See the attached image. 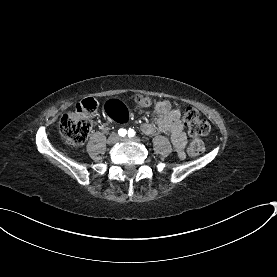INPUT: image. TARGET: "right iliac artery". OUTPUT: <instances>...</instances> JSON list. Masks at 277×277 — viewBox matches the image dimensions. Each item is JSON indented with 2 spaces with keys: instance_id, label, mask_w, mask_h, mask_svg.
<instances>
[{
  "instance_id": "82829eb1",
  "label": "right iliac artery",
  "mask_w": 277,
  "mask_h": 277,
  "mask_svg": "<svg viewBox=\"0 0 277 277\" xmlns=\"http://www.w3.org/2000/svg\"><path fill=\"white\" fill-rule=\"evenodd\" d=\"M118 134H119L121 137H124V136L127 135V130L121 128V129H119Z\"/></svg>"
}]
</instances>
